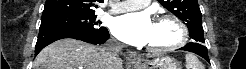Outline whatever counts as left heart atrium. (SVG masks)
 I'll return each mask as SVG.
<instances>
[{"instance_id": "39dd6f15", "label": "left heart atrium", "mask_w": 246, "mask_h": 69, "mask_svg": "<svg viewBox=\"0 0 246 69\" xmlns=\"http://www.w3.org/2000/svg\"><path fill=\"white\" fill-rule=\"evenodd\" d=\"M153 21L148 12L127 13L112 22L113 34L122 42L144 46L149 42Z\"/></svg>"}]
</instances>
